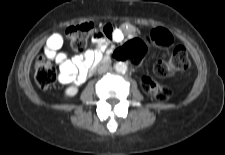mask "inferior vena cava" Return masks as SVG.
Instances as JSON below:
<instances>
[{
  "instance_id": "602c4592",
  "label": "inferior vena cava",
  "mask_w": 225,
  "mask_h": 155,
  "mask_svg": "<svg viewBox=\"0 0 225 155\" xmlns=\"http://www.w3.org/2000/svg\"><path fill=\"white\" fill-rule=\"evenodd\" d=\"M110 70H111V67L109 65H106V64H104V65H102L98 68L99 73H105V72H108Z\"/></svg>"
}]
</instances>
